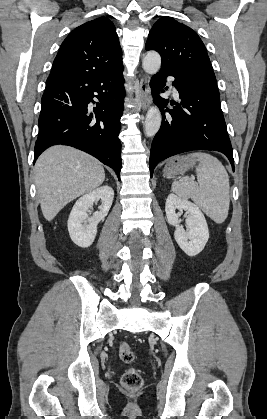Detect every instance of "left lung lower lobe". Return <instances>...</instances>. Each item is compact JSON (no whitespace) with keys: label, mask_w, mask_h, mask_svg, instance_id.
<instances>
[{"label":"left lung lower lobe","mask_w":267,"mask_h":419,"mask_svg":"<svg viewBox=\"0 0 267 419\" xmlns=\"http://www.w3.org/2000/svg\"><path fill=\"white\" fill-rule=\"evenodd\" d=\"M173 76L180 104L167 108L168 99L158 96L164 92L165 78ZM150 87L162 113V123L155 135L150 153V175L162 160L192 150H214L225 154L234 170L231 142L220 105L216 82L188 73L161 68L151 78ZM173 105V102H170ZM166 107V108H165Z\"/></svg>","instance_id":"left-lung-lower-lobe-1"}]
</instances>
